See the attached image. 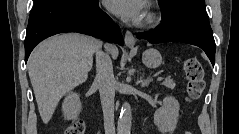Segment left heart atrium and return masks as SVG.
I'll return each mask as SVG.
<instances>
[{
  "mask_svg": "<svg viewBox=\"0 0 239 134\" xmlns=\"http://www.w3.org/2000/svg\"><path fill=\"white\" fill-rule=\"evenodd\" d=\"M108 9L125 21L138 23L146 14L145 2L142 0H107Z\"/></svg>",
  "mask_w": 239,
  "mask_h": 134,
  "instance_id": "1",
  "label": "left heart atrium"
}]
</instances>
